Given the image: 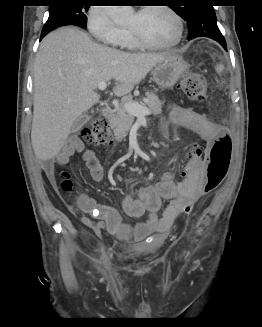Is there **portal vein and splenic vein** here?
Listing matches in <instances>:
<instances>
[{"instance_id": "18ae733b", "label": "portal vein and splenic vein", "mask_w": 262, "mask_h": 327, "mask_svg": "<svg viewBox=\"0 0 262 327\" xmlns=\"http://www.w3.org/2000/svg\"><path fill=\"white\" fill-rule=\"evenodd\" d=\"M107 87L106 82H101L98 84V89L103 91ZM123 107L132 115L143 117L145 115H150L151 111L146 106L140 105L136 102H126L124 103Z\"/></svg>"}]
</instances>
